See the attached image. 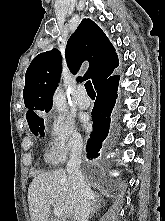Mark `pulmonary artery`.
I'll list each match as a JSON object with an SVG mask.
<instances>
[{"mask_svg":"<svg viewBox=\"0 0 165 221\" xmlns=\"http://www.w3.org/2000/svg\"><path fill=\"white\" fill-rule=\"evenodd\" d=\"M76 104L80 109H88L91 105V101L87 96L84 87H80L78 89V97L76 100Z\"/></svg>","mask_w":165,"mask_h":221,"instance_id":"e3ab8cb5","label":"pulmonary artery"}]
</instances>
